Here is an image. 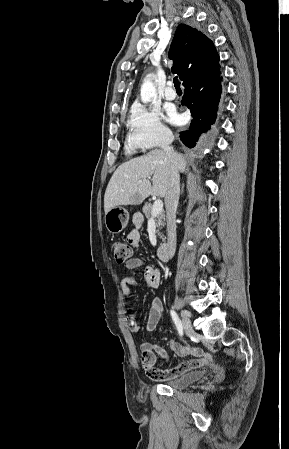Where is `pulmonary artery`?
Here are the masks:
<instances>
[{"mask_svg":"<svg viewBox=\"0 0 289 449\" xmlns=\"http://www.w3.org/2000/svg\"><path fill=\"white\" fill-rule=\"evenodd\" d=\"M164 97L167 100H173L176 98V91L173 89L172 83L168 82L164 90Z\"/></svg>","mask_w":289,"mask_h":449,"instance_id":"e3ab8cb5","label":"pulmonary artery"}]
</instances>
